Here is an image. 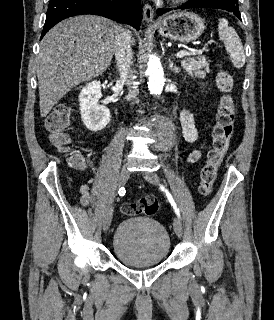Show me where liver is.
<instances>
[{"label":"liver","mask_w":274,"mask_h":320,"mask_svg":"<svg viewBox=\"0 0 274 320\" xmlns=\"http://www.w3.org/2000/svg\"><path fill=\"white\" fill-rule=\"evenodd\" d=\"M116 26L101 16H75L47 32L36 60L41 118L72 88L109 68Z\"/></svg>","instance_id":"1"}]
</instances>
